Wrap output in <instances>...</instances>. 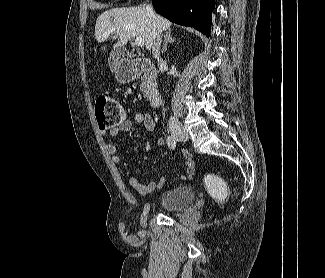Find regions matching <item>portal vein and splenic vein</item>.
Segmentation results:
<instances>
[{
  "label": "portal vein and splenic vein",
  "instance_id": "18ae733b",
  "mask_svg": "<svg viewBox=\"0 0 325 278\" xmlns=\"http://www.w3.org/2000/svg\"><path fill=\"white\" fill-rule=\"evenodd\" d=\"M135 45L138 47L144 46V40L142 38H136L135 39Z\"/></svg>",
  "mask_w": 325,
  "mask_h": 278
}]
</instances>
